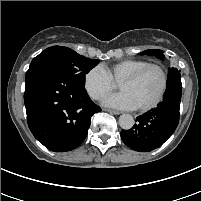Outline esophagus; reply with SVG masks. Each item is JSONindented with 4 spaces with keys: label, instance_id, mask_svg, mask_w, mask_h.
<instances>
[{
    "label": "esophagus",
    "instance_id": "obj_1",
    "mask_svg": "<svg viewBox=\"0 0 201 201\" xmlns=\"http://www.w3.org/2000/svg\"><path fill=\"white\" fill-rule=\"evenodd\" d=\"M104 111H107V112H109V113H111V114H115V115H119V114H120L119 111L112 110V109H104Z\"/></svg>",
    "mask_w": 201,
    "mask_h": 201
}]
</instances>
